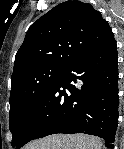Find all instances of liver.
Here are the masks:
<instances>
[{"label":"liver","mask_w":124,"mask_h":149,"mask_svg":"<svg viewBox=\"0 0 124 149\" xmlns=\"http://www.w3.org/2000/svg\"><path fill=\"white\" fill-rule=\"evenodd\" d=\"M102 143L85 135H53L34 141L25 149H101Z\"/></svg>","instance_id":"6515ba94"}]
</instances>
